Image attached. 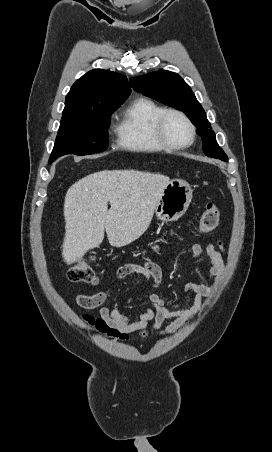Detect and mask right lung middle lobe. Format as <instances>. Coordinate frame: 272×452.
<instances>
[{
    "mask_svg": "<svg viewBox=\"0 0 272 452\" xmlns=\"http://www.w3.org/2000/svg\"><path fill=\"white\" fill-rule=\"evenodd\" d=\"M120 105L108 106L90 115L61 119L49 164L66 154L89 155L106 150L110 115Z\"/></svg>",
    "mask_w": 272,
    "mask_h": 452,
    "instance_id": "right-lung-middle-lobe-1",
    "label": "right lung middle lobe"
}]
</instances>
